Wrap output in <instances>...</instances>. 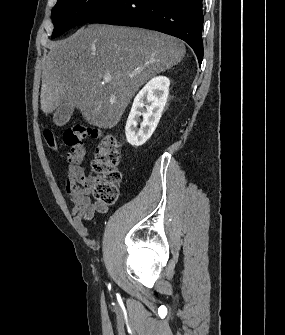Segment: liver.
Masks as SVG:
<instances>
[{"label":"liver","instance_id":"liver-1","mask_svg":"<svg viewBox=\"0 0 285 335\" xmlns=\"http://www.w3.org/2000/svg\"><path fill=\"white\" fill-rule=\"evenodd\" d=\"M40 104L52 114L69 102L91 126L114 128L139 88L183 60L172 36L126 26L89 24L73 36L49 42ZM110 76L111 82H104ZM133 76V78H130Z\"/></svg>","mask_w":285,"mask_h":335}]
</instances>
